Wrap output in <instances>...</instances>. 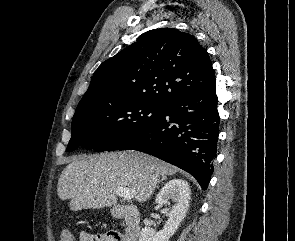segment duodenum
<instances>
[{
	"label": "duodenum",
	"mask_w": 295,
	"mask_h": 241,
	"mask_svg": "<svg viewBox=\"0 0 295 241\" xmlns=\"http://www.w3.org/2000/svg\"><path fill=\"white\" fill-rule=\"evenodd\" d=\"M113 216L123 218L125 222V241H136L141 230L140 214L134 206H114Z\"/></svg>",
	"instance_id": "duodenum-1"
}]
</instances>
